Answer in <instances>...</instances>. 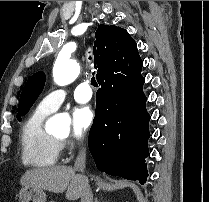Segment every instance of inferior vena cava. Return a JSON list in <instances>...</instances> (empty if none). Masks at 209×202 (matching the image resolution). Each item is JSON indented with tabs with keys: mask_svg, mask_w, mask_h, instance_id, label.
<instances>
[{
	"mask_svg": "<svg viewBox=\"0 0 209 202\" xmlns=\"http://www.w3.org/2000/svg\"><path fill=\"white\" fill-rule=\"evenodd\" d=\"M85 159H86L85 149L82 147L79 151V154H78L76 160H75L74 170L83 173L85 170ZM81 202H93V195H92L88 181H86V183L82 189Z\"/></svg>",
	"mask_w": 209,
	"mask_h": 202,
	"instance_id": "602c4592",
	"label": "inferior vena cava"
}]
</instances>
